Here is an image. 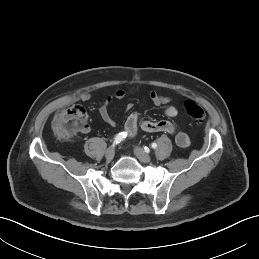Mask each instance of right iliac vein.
<instances>
[{
    "mask_svg": "<svg viewBox=\"0 0 259 259\" xmlns=\"http://www.w3.org/2000/svg\"><path fill=\"white\" fill-rule=\"evenodd\" d=\"M115 155V148L113 146L109 147L105 152V157L107 161H111Z\"/></svg>",
    "mask_w": 259,
    "mask_h": 259,
    "instance_id": "obj_1",
    "label": "right iliac vein"
}]
</instances>
